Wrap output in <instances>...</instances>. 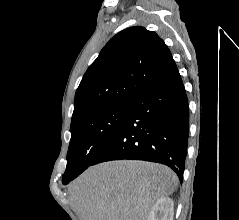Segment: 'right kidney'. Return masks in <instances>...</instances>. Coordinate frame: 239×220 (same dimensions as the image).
Returning a JSON list of instances; mask_svg holds the SVG:
<instances>
[{"instance_id":"1","label":"right kidney","mask_w":239,"mask_h":220,"mask_svg":"<svg viewBox=\"0 0 239 220\" xmlns=\"http://www.w3.org/2000/svg\"><path fill=\"white\" fill-rule=\"evenodd\" d=\"M173 201L167 197H161L152 207L148 220H173Z\"/></svg>"}]
</instances>
